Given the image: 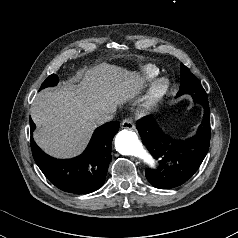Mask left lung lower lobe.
<instances>
[{
    "instance_id": "1",
    "label": "left lung lower lobe",
    "mask_w": 238,
    "mask_h": 238,
    "mask_svg": "<svg viewBox=\"0 0 238 238\" xmlns=\"http://www.w3.org/2000/svg\"><path fill=\"white\" fill-rule=\"evenodd\" d=\"M195 103L203 106L204 116L196 134L186 140L169 137L155 118L136 122L143 144L158 163L156 169L146 171V178L156 188H174L188 181L208 152L211 135L209 105L208 102Z\"/></svg>"
}]
</instances>
